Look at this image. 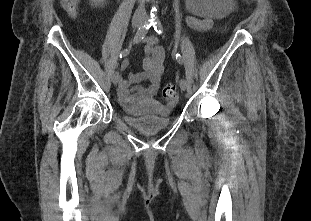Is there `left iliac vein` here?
I'll return each instance as SVG.
<instances>
[{"label":"left iliac vein","instance_id":"left-iliac-vein-1","mask_svg":"<svg viewBox=\"0 0 311 221\" xmlns=\"http://www.w3.org/2000/svg\"><path fill=\"white\" fill-rule=\"evenodd\" d=\"M179 85L182 91H185L188 86L187 81L185 79H181Z\"/></svg>","mask_w":311,"mask_h":221}]
</instances>
